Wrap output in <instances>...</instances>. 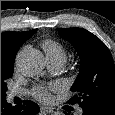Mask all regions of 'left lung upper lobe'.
Masks as SVG:
<instances>
[{"instance_id":"obj_1","label":"left lung upper lobe","mask_w":115,"mask_h":115,"mask_svg":"<svg viewBox=\"0 0 115 115\" xmlns=\"http://www.w3.org/2000/svg\"><path fill=\"white\" fill-rule=\"evenodd\" d=\"M80 57V73L72 85L75 95L69 103L84 110L115 115V66L106 45L82 28L57 29Z\"/></svg>"}]
</instances>
